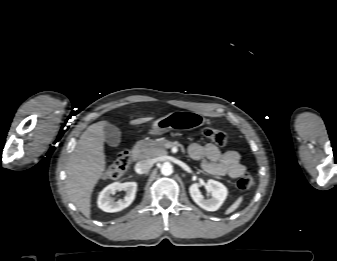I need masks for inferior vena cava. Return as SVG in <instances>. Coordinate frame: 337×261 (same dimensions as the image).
Returning a JSON list of instances; mask_svg holds the SVG:
<instances>
[{
  "label": "inferior vena cava",
  "instance_id": "1",
  "mask_svg": "<svg viewBox=\"0 0 337 261\" xmlns=\"http://www.w3.org/2000/svg\"><path fill=\"white\" fill-rule=\"evenodd\" d=\"M152 166H153V160L151 159L141 160L136 163L135 171L138 174H144V173H147L151 169Z\"/></svg>",
  "mask_w": 337,
  "mask_h": 261
}]
</instances>
